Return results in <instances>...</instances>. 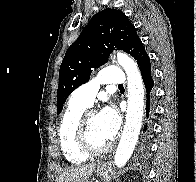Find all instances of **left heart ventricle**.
Wrapping results in <instances>:
<instances>
[{"label":"left heart ventricle","mask_w":196,"mask_h":182,"mask_svg":"<svg viewBox=\"0 0 196 182\" xmlns=\"http://www.w3.org/2000/svg\"><path fill=\"white\" fill-rule=\"evenodd\" d=\"M87 141L93 148H101L109 143L98 126L96 114L91 115L87 121Z\"/></svg>","instance_id":"obj_1"}]
</instances>
